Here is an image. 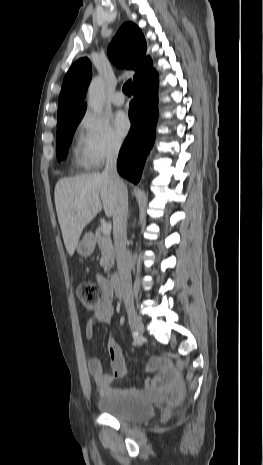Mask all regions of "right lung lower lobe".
<instances>
[{
	"mask_svg": "<svg viewBox=\"0 0 263 465\" xmlns=\"http://www.w3.org/2000/svg\"><path fill=\"white\" fill-rule=\"evenodd\" d=\"M158 75L154 71L133 85L130 102L131 128L121 148L117 169L133 183L140 180L147 155L155 140L158 117Z\"/></svg>",
	"mask_w": 263,
	"mask_h": 465,
	"instance_id": "obj_1",
	"label": "right lung lower lobe"
}]
</instances>
